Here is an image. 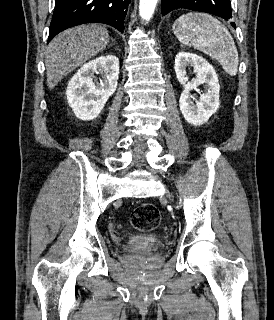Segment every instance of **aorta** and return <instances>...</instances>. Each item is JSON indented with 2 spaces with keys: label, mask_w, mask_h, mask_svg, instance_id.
I'll return each instance as SVG.
<instances>
[{
  "label": "aorta",
  "mask_w": 274,
  "mask_h": 320,
  "mask_svg": "<svg viewBox=\"0 0 274 320\" xmlns=\"http://www.w3.org/2000/svg\"><path fill=\"white\" fill-rule=\"evenodd\" d=\"M158 0H140L139 14L142 19L149 21L154 13Z\"/></svg>",
  "instance_id": "762f6f07"
}]
</instances>
